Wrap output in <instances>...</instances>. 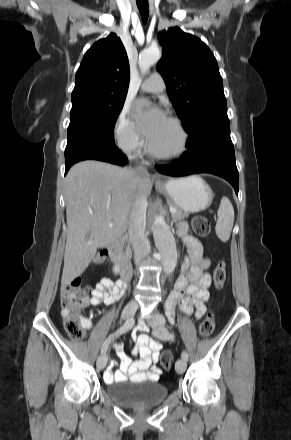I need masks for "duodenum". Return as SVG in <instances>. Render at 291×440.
Listing matches in <instances>:
<instances>
[{
    "mask_svg": "<svg viewBox=\"0 0 291 440\" xmlns=\"http://www.w3.org/2000/svg\"><path fill=\"white\" fill-rule=\"evenodd\" d=\"M108 251L113 262L120 271L121 283L126 285L130 278V266L126 257V241L123 238H117L111 242Z\"/></svg>",
    "mask_w": 291,
    "mask_h": 440,
    "instance_id": "410a0bca",
    "label": "duodenum"
}]
</instances>
